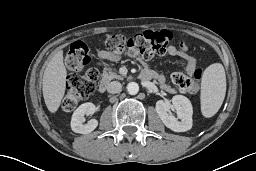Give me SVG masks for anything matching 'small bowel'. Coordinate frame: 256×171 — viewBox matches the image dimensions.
Masks as SVG:
<instances>
[{"instance_id":"obj_1","label":"small bowel","mask_w":256,"mask_h":171,"mask_svg":"<svg viewBox=\"0 0 256 171\" xmlns=\"http://www.w3.org/2000/svg\"><path fill=\"white\" fill-rule=\"evenodd\" d=\"M168 54L171 56H176L184 60L185 67L184 70L187 74L192 75L196 69V58L189 53V48L183 42H179L178 45H170L168 47ZM97 57L99 59L104 60H114L116 56L108 51L100 50L97 52ZM142 78L147 79H155L158 83L164 88L169 89V86L166 82V78L162 74H158L153 70L147 69L144 70L141 74Z\"/></svg>"}]
</instances>
